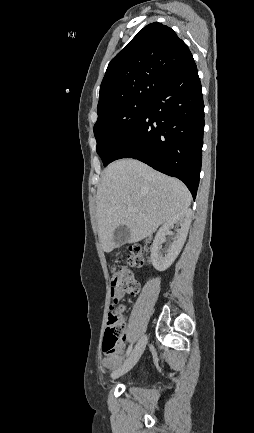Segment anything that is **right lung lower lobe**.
Returning <instances> with one entry per match:
<instances>
[{"instance_id":"obj_1","label":"right lung lower lobe","mask_w":254,"mask_h":433,"mask_svg":"<svg viewBox=\"0 0 254 433\" xmlns=\"http://www.w3.org/2000/svg\"><path fill=\"white\" fill-rule=\"evenodd\" d=\"M204 131L202 87L191 61L152 97L144 114L117 147L111 162L138 159L180 179L195 199Z\"/></svg>"}]
</instances>
